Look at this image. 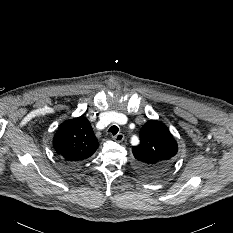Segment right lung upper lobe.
<instances>
[{"label":"right lung upper lobe","instance_id":"obj_1","mask_svg":"<svg viewBox=\"0 0 233 233\" xmlns=\"http://www.w3.org/2000/svg\"><path fill=\"white\" fill-rule=\"evenodd\" d=\"M55 151L68 162H79L94 154L99 143L90 122L83 116L63 122L53 138Z\"/></svg>","mask_w":233,"mask_h":233}]
</instances>
